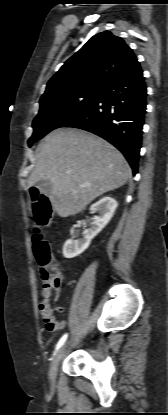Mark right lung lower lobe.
<instances>
[{"label": "right lung lower lobe", "mask_w": 168, "mask_h": 415, "mask_svg": "<svg viewBox=\"0 0 168 415\" xmlns=\"http://www.w3.org/2000/svg\"><path fill=\"white\" fill-rule=\"evenodd\" d=\"M146 85L140 64L109 83L102 95L61 127L92 132L118 148L137 173L146 112Z\"/></svg>", "instance_id": "right-lung-lower-lobe-1"}]
</instances>
